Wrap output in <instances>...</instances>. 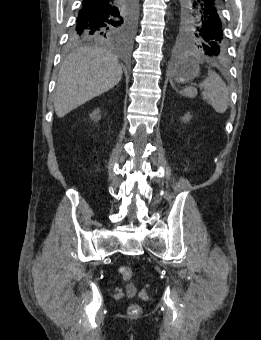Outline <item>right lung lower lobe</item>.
Returning a JSON list of instances; mask_svg holds the SVG:
<instances>
[{"instance_id":"right-lung-lower-lobe-1","label":"right lung lower lobe","mask_w":261,"mask_h":340,"mask_svg":"<svg viewBox=\"0 0 261 340\" xmlns=\"http://www.w3.org/2000/svg\"><path fill=\"white\" fill-rule=\"evenodd\" d=\"M126 1L127 0H83L74 27L81 29L91 24L95 19L116 15L124 7Z\"/></svg>"}]
</instances>
